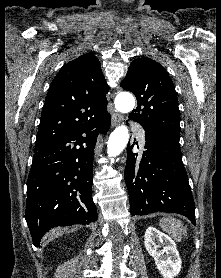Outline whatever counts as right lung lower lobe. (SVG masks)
I'll list each match as a JSON object with an SVG mask.
<instances>
[{"mask_svg":"<svg viewBox=\"0 0 221 278\" xmlns=\"http://www.w3.org/2000/svg\"><path fill=\"white\" fill-rule=\"evenodd\" d=\"M109 127V115L87 121L34 150L25 218L35 246L52 227L97 220L93 154L99 132L107 133Z\"/></svg>","mask_w":221,"mask_h":278,"instance_id":"right-lung-lower-lobe-1","label":"right lung lower lobe"}]
</instances>
